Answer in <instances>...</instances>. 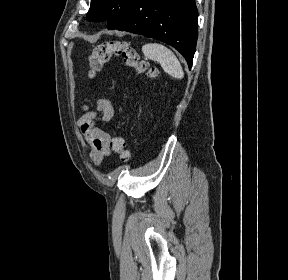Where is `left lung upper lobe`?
<instances>
[{
    "label": "left lung upper lobe",
    "instance_id": "left-lung-upper-lobe-1",
    "mask_svg": "<svg viewBox=\"0 0 288 280\" xmlns=\"http://www.w3.org/2000/svg\"><path fill=\"white\" fill-rule=\"evenodd\" d=\"M137 0H91L87 13L89 21L106 20L107 28L111 29L132 7Z\"/></svg>",
    "mask_w": 288,
    "mask_h": 280
}]
</instances>
